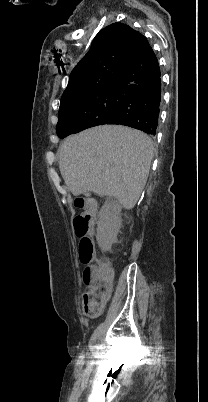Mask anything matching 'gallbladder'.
<instances>
[{
    "mask_svg": "<svg viewBox=\"0 0 208 402\" xmlns=\"http://www.w3.org/2000/svg\"><path fill=\"white\" fill-rule=\"evenodd\" d=\"M84 196H85L86 198H89V197L91 196V193H90L89 191H86V192L84 193Z\"/></svg>",
    "mask_w": 208,
    "mask_h": 402,
    "instance_id": "obj_1",
    "label": "gallbladder"
}]
</instances>
